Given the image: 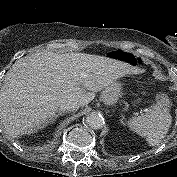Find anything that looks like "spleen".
<instances>
[{
  "mask_svg": "<svg viewBox=\"0 0 177 177\" xmlns=\"http://www.w3.org/2000/svg\"><path fill=\"white\" fill-rule=\"evenodd\" d=\"M156 101V104L149 107L145 114L133 117L127 122L130 130L146 138L150 146H155L162 141L172 123L168 96L158 95Z\"/></svg>",
  "mask_w": 177,
  "mask_h": 177,
  "instance_id": "spleen-1",
  "label": "spleen"
}]
</instances>
